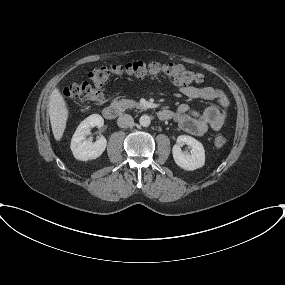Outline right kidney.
Instances as JSON below:
<instances>
[{
    "mask_svg": "<svg viewBox=\"0 0 285 285\" xmlns=\"http://www.w3.org/2000/svg\"><path fill=\"white\" fill-rule=\"evenodd\" d=\"M103 125L104 119L98 114L90 115L79 124L72 137L70 146L77 160L88 161L96 159L105 151L107 145L105 137H100L95 142L86 139V136L90 134L91 128L95 126L101 128Z\"/></svg>",
    "mask_w": 285,
    "mask_h": 285,
    "instance_id": "ca27d5eb",
    "label": "right kidney"
}]
</instances>
